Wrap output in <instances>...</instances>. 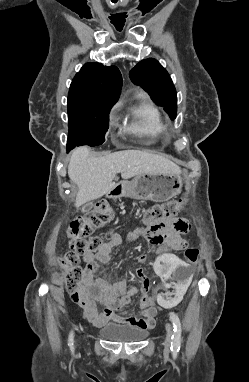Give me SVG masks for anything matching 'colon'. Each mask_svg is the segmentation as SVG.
<instances>
[{
    "label": "colon",
    "instance_id": "colon-1",
    "mask_svg": "<svg viewBox=\"0 0 249 382\" xmlns=\"http://www.w3.org/2000/svg\"><path fill=\"white\" fill-rule=\"evenodd\" d=\"M186 199L170 200L161 204H155L146 208L142 220L146 225L153 226L165 217L177 214L184 210ZM109 219L108 205L100 203L95 209L86 215L74 219L69 227L68 244L70 249L61 255L59 264L65 270V286L71 298L79 301L82 298L80 289L85 276V269L80 266V256L89 252L97 251L103 244L101 237H86L92 230L101 227ZM199 251L197 248L189 247L184 251V256L189 262H196ZM136 282H144L143 292L149 288L148 276L142 269L136 270Z\"/></svg>",
    "mask_w": 249,
    "mask_h": 382
}]
</instances>
